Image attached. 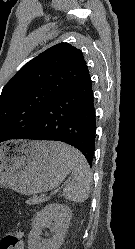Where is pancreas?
<instances>
[{"label": "pancreas", "instance_id": "1", "mask_svg": "<svg viewBox=\"0 0 135 249\" xmlns=\"http://www.w3.org/2000/svg\"><path fill=\"white\" fill-rule=\"evenodd\" d=\"M47 200L48 198L45 196H40V197L34 196L33 198L28 199L26 203L29 205H34V204H41Z\"/></svg>", "mask_w": 135, "mask_h": 249}]
</instances>
